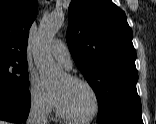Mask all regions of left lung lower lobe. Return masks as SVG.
Segmentation results:
<instances>
[{
	"label": "left lung lower lobe",
	"mask_w": 156,
	"mask_h": 124,
	"mask_svg": "<svg viewBox=\"0 0 156 124\" xmlns=\"http://www.w3.org/2000/svg\"><path fill=\"white\" fill-rule=\"evenodd\" d=\"M98 123H115V124H143L142 116L129 112H111L104 116L97 117Z\"/></svg>",
	"instance_id": "1"
}]
</instances>
